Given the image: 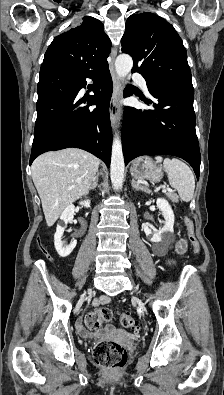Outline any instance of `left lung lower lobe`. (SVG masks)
<instances>
[{
    "mask_svg": "<svg viewBox=\"0 0 224 395\" xmlns=\"http://www.w3.org/2000/svg\"><path fill=\"white\" fill-rule=\"evenodd\" d=\"M148 86V85H147ZM154 110L125 108L122 145L125 165L141 155L168 154L186 160L200 174V149L195 130L194 89L158 84L148 86ZM129 90L124 96H131Z\"/></svg>",
    "mask_w": 224,
    "mask_h": 395,
    "instance_id": "1",
    "label": "left lung lower lobe"
}]
</instances>
